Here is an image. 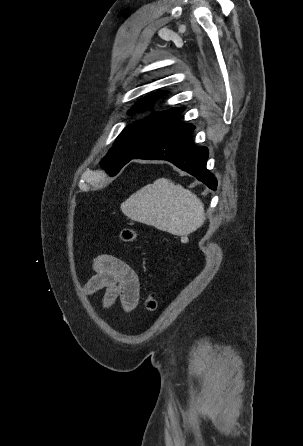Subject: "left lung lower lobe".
Returning a JSON list of instances; mask_svg holds the SVG:
<instances>
[{"mask_svg": "<svg viewBox=\"0 0 303 446\" xmlns=\"http://www.w3.org/2000/svg\"><path fill=\"white\" fill-rule=\"evenodd\" d=\"M194 129L195 126L192 124H183L173 134L151 144L138 154L126 158L113 175L132 159L167 160L195 176L209 188L216 190L217 180L206 169L208 150L206 147H198L194 144L192 140Z\"/></svg>", "mask_w": 303, "mask_h": 446, "instance_id": "0a47b994", "label": "left lung lower lobe"}]
</instances>
